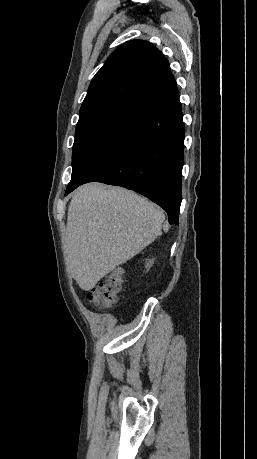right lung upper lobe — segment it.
I'll use <instances>...</instances> for the list:
<instances>
[{
    "label": "right lung upper lobe",
    "mask_w": 257,
    "mask_h": 459,
    "mask_svg": "<svg viewBox=\"0 0 257 459\" xmlns=\"http://www.w3.org/2000/svg\"><path fill=\"white\" fill-rule=\"evenodd\" d=\"M176 87L169 63L151 43L122 44L92 79L80 116L108 108L141 110Z\"/></svg>",
    "instance_id": "1"
}]
</instances>
